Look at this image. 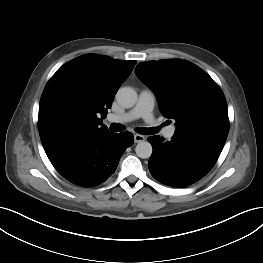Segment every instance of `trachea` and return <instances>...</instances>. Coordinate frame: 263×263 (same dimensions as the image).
I'll use <instances>...</instances> for the list:
<instances>
[{
    "instance_id": "3493384b",
    "label": "trachea",
    "mask_w": 263,
    "mask_h": 263,
    "mask_svg": "<svg viewBox=\"0 0 263 263\" xmlns=\"http://www.w3.org/2000/svg\"><path fill=\"white\" fill-rule=\"evenodd\" d=\"M124 127L117 123H112L110 126V130L114 132L123 131ZM136 131L143 135H153L158 132L156 128H136Z\"/></svg>"
}]
</instances>
